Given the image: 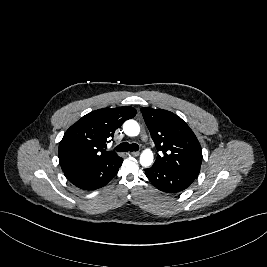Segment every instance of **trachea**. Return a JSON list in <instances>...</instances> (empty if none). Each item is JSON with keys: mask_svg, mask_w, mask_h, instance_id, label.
I'll use <instances>...</instances> for the list:
<instances>
[{"mask_svg": "<svg viewBox=\"0 0 267 267\" xmlns=\"http://www.w3.org/2000/svg\"><path fill=\"white\" fill-rule=\"evenodd\" d=\"M116 151L118 152H127V151H138L139 146L135 143L129 144L127 142H123L119 144L116 148Z\"/></svg>", "mask_w": 267, "mask_h": 267, "instance_id": "3493384b", "label": "trachea"}]
</instances>
